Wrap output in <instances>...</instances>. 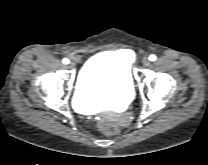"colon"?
<instances>
[{
	"mask_svg": "<svg viewBox=\"0 0 208 165\" xmlns=\"http://www.w3.org/2000/svg\"><path fill=\"white\" fill-rule=\"evenodd\" d=\"M97 126L106 135H115L119 131L117 124L105 117L98 119Z\"/></svg>",
	"mask_w": 208,
	"mask_h": 165,
	"instance_id": "1",
	"label": "colon"
}]
</instances>
